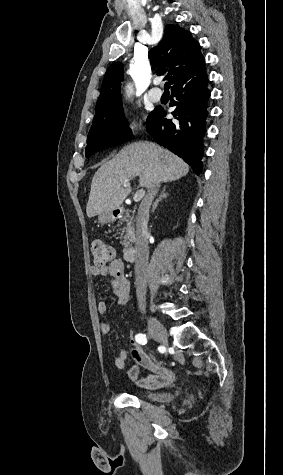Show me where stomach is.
Returning <instances> with one entry per match:
<instances>
[{"mask_svg":"<svg viewBox=\"0 0 283 475\" xmlns=\"http://www.w3.org/2000/svg\"><path fill=\"white\" fill-rule=\"evenodd\" d=\"M98 222L99 224H109V222H113L112 212H101V214H98Z\"/></svg>","mask_w":283,"mask_h":475,"instance_id":"1","label":"stomach"}]
</instances>
